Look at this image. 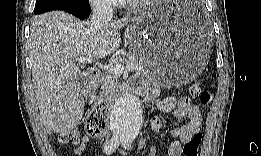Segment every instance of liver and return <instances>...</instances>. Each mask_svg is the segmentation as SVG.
Returning a JSON list of instances; mask_svg holds the SVG:
<instances>
[{
    "mask_svg": "<svg viewBox=\"0 0 261 156\" xmlns=\"http://www.w3.org/2000/svg\"><path fill=\"white\" fill-rule=\"evenodd\" d=\"M130 19L127 15L97 29L91 22L80 21L64 11L47 12L33 18L29 57L35 97L48 134L69 131L78 125L83 114V99L78 90L65 84L81 76L80 57L102 58L115 52L121 43L119 30ZM68 93L75 104V125L60 127L55 112Z\"/></svg>",
    "mask_w": 261,
    "mask_h": 156,
    "instance_id": "obj_1",
    "label": "liver"
}]
</instances>
